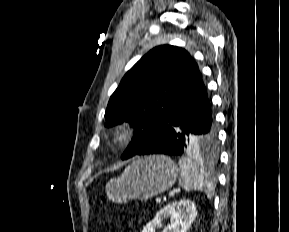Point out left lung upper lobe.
I'll list each match as a JSON object with an SVG mask.
<instances>
[{"instance_id": "obj_1", "label": "left lung upper lobe", "mask_w": 289, "mask_h": 232, "mask_svg": "<svg viewBox=\"0 0 289 232\" xmlns=\"http://www.w3.org/2000/svg\"><path fill=\"white\" fill-rule=\"evenodd\" d=\"M200 77L190 54L171 45L150 50L125 74L105 113V126L128 121L135 128L122 159L134 156L166 127L181 99ZM216 146L217 139L205 151H215Z\"/></svg>"}]
</instances>
